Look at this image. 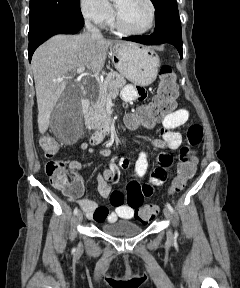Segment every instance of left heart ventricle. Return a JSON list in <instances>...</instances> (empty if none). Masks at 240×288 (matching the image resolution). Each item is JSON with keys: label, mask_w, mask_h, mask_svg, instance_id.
Wrapping results in <instances>:
<instances>
[{"label": "left heart ventricle", "mask_w": 240, "mask_h": 288, "mask_svg": "<svg viewBox=\"0 0 240 288\" xmlns=\"http://www.w3.org/2000/svg\"><path fill=\"white\" fill-rule=\"evenodd\" d=\"M126 26L135 31L146 29L151 22V8L146 0H115Z\"/></svg>", "instance_id": "1"}]
</instances>
